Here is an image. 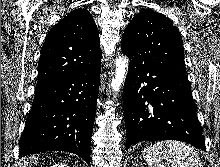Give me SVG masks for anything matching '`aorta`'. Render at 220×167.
Returning a JSON list of instances; mask_svg holds the SVG:
<instances>
[{"mask_svg": "<svg viewBox=\"0 0 220 167\" xmlns=\"http://www.w3.org/2000/svg\"><path fill=\"white\" fill-rule=\"evenodd\" d=\"M128 63L129 61L126 57H119L116 59V74L115 77L112 78L111 82V87L114 92L119 91L124 81L125 75L127 73Z\"/></svg>", "mask_w": 220, "mask_h": 167, "instance_id": "obj_1", "label": "aorta"}]
</instances>
